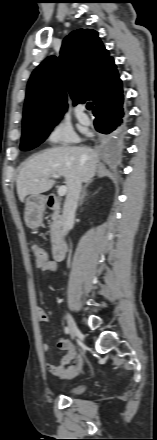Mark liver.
I'll return each mask as SVG.
<instances>
[{
    "label": "liver",
    "instance_id": "1",
    "mask_svg": "<svg viewBox=\"0 0 157 440\" xmlns=\"http://www.w3.org/2000/svg\"><path fill=\"white\" fill-rule=\"evenodd\" d=\"M99 163L98 151L86 146L54 147L27 159L21 166L17 193L21 202L28 195L37 196L50 190L55 180L52 174L65 177L67 189L76 179L90 183Z\"/></svg>",
    "mask_w": 157,
    "mask_h": 440
}]
</instances>
